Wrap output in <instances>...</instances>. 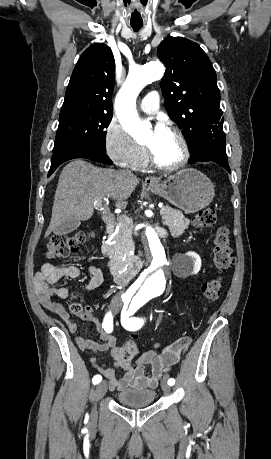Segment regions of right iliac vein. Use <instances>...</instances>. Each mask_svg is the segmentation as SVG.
Listing matches in <instances>:
<instances>
[{"label": "right iliac vein", "instance_id": "obj_1", "mask_svg": "<svg viewBox=\"0 0 271 459\" xmlns=\"http://www.w3.org/2000/svg\"><path fill=\"white\" fill-rule=\"evenodd\" d=\"M106 391H107V382L103 381L100 384H98L95 390V400L98 401L106 393ZM91 416L94 419L96 418L97 411L95 408H93Z\"/></svg>", "mask_w": 271, "mask_h": 459}]
</instances>
